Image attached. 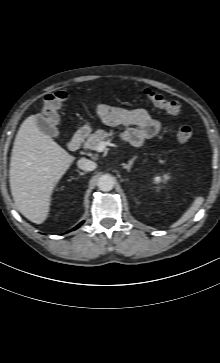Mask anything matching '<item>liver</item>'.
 <instances>
[{"label":"liver","mask_w":220,"mask_h":363,"mask_svg":"<svg viewBox=\"0 0 220 363\" xmlns=\"http://www.w3.org/2000/svg\"><path fill=\"white\" fill-rule=\"evenodd\" d=\"M74 160L39 129L35 115L23 121L15 137L9 170L11 194L23 216L36 224L47 219L53 190Z\"/></svg>","instance_id":"liver-1"}]
</instances>
